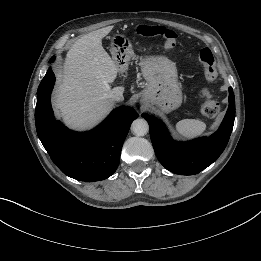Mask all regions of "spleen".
<instances>
[{
  "label": "spleen",
  "instance_id": "obj_1",
  "mask_svg": "<svg viewBox=\"0 0 261 261\" xmlns=\"http://www.w3.org/2000/svg\"><path fill=\"white\" fill-rule=\"evenodd\" d=\"M176 130L184 137H196L206 130V124L196 119H184L176 124Z\"/></svg>",
  "mask_w": 261,
  "mask_h": 261
}]
</instances>
